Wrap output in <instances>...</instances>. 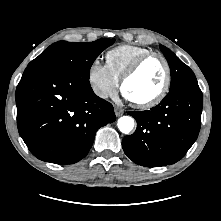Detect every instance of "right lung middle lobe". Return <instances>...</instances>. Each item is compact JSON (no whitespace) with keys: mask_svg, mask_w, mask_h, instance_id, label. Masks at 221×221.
<instances>
[{"mask_svg":"<svg viewBox=\"0 0 221 221\" xmlns=\"http://www.w3.org/2000/svg\"><path fill=\"white\" fill-rule=\"evenodd\" d=\"M114 41V39L107 38L80 43L58 41L32 60L25 70L54 69L75 73L89 79L94 60Z\"/></svg>","mask_w":221,"mask_h":221,"instance_id":"right-lung-middle-lobe-1","label":"right lung middle lobe"}]
</instances>
